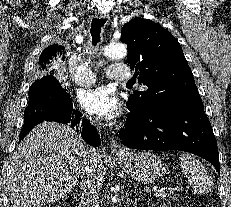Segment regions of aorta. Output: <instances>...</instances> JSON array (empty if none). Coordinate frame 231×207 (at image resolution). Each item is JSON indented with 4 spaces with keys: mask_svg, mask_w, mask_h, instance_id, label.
Listing matches in <instances>:
<instances>
[{
    "mask_svg": "<svg viewBox=\"0 0 231 207\" xmlns=\"http://www.w3.org/2000/svg\"><path fill=\"white\" fill-rule=\"evenodd\" d=\"M102 53L110 59H122L127 55V47L122 43H111L102 48Z\"/></svg>",
    "mask_w": 231,
    "mask_h": 207,
    "instance_id": "aorta-1",
    "label": "aorta"
}]
</instances>
